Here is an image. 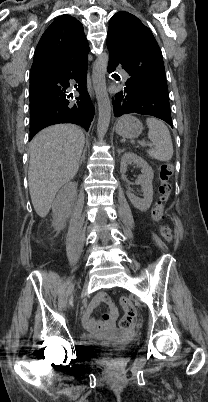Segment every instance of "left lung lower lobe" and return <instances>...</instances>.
Here are the masks:
<instances>
[{
    "label": "left lung lower lobe",
    "mask_w": 208,
    "mask_h": 402,
    "mask_svg": "<svg viewBox=\"0 0 208 402\" xmlns=\"http://www.w3.org/2000/svg\"><path fill=\"white\" fill-rule=\"evenodd\" d=\"M107 47L110 53L108 72H113L118 65H122V68L128 72L127 55L111 41H107ZM112 104L116 117L130 113L151 115L164 120L173 127L169 99L162 97L149 87L135 82L132 78L126 81L122 90L114 94Z\"/></svg>",
    "instance_id": "obj_1"
}]
</instances>
